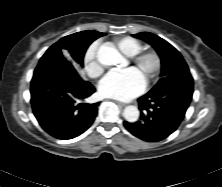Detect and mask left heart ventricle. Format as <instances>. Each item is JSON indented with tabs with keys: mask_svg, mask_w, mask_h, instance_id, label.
Returning <instances> with one entry per match:
<instances>
[{
	"mask_svg": "<svg viewBox=\"0 0 222 187\" xmlns=\"http://www.w3.org/2000/svg\"><path fill=\"white\" fill-rule=\"evenodd\" d=\"M136 69L139 70V72L146 80L147 76L151 73L153 69V61L151 59H147L142 63V65L136 66Z\"/></svg>",
	"mask_w": 222,
	"mask_h": 187,
	"instance_id": "obj_1",
	"label": "left heart ventricle"
}]
</instances>
